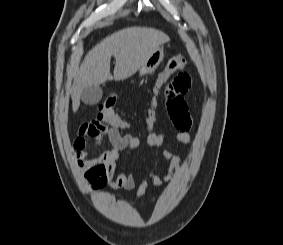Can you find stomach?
Here are the masks:
<instances>
[{
  "instance_id": "0dacf381",
  "label": "stomach",
  "mask_w": 283,
  "mask_h": 245,
  "mask_svg": "<svg viewBox=\"0 0 283 245\" xmlns=\"http://www.w3.org/2000/svg\"><path fill=\"white\" fill-rule=\"evenodd\" d=\"M164 58L163 47L157 48L151 56L145 61V63L139 69L140 76H147L152 74L156 68L160 65Z\"/></svg>"
}]
</instances>
